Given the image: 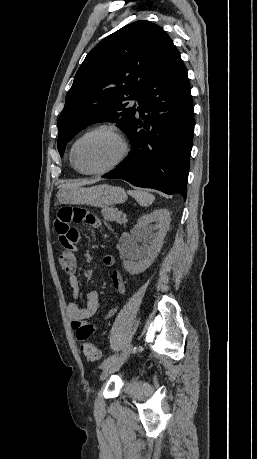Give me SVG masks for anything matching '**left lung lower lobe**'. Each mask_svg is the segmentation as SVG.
Listing matches in <instances>:
<instances>
[{"instance_id": "obj_1", "label": "left lung lower lobe", "mask_w": 257, "mask_h": 459, "mask_svg": "<svg viewBox=\"0 0 257 459\" xmlns=\"http://www.w3.org/2000/svg\"><path fill=\"white\" fill-rule=\"evenodd\" d=\"M138 103L125 132L131 152L103 178L124 179L170 195L180 193L186 199L194 113L187 71L175 47Z\"/></svg>"}]
</instances>
